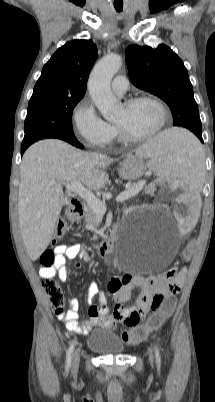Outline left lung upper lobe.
<instances>
[{
  "instance_id": "left-lung-upper-lobe-1",
  "label": "left lung upper lobe",
  "mask_w": 215,
  "mask_h": 402,
  "mask_svg": "<svg viewBox=\"0 0 215 402\" xmlns=\"http://www.w3.org/2000/svg\"><path fill=\"white\" fill-rule=\"evenodd\" d=\"M131 82L164 100L173 125L202 136L201 120L192 84L182 60L166 45L157 48L130 45L125 51Z\"/></svg>"
}]
</instances>
